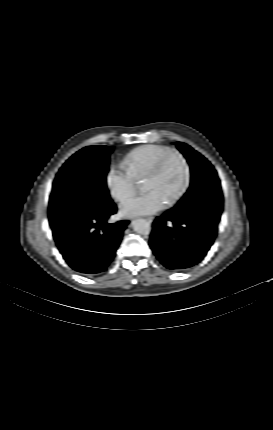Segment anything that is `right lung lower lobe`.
<instances>
[{
	"label": "right lung lower lobe",
	"mask_w": 273,
	"mask_h": 430,
	"mask_svg": "<svg viewBox=\"0 0 273 430\" xmlns=\"http://www.w3.org/2000/svg\"><path fill=\"white\" fill-rule=\"evenodd\" d=\"M116 210L112 205L51 227L60 253L73 270L84 276H94L107 270L128 223H107Z\"/></svg>",
	"instance_id": "right-lung-lower-lobe-1"
}]
</instances>
